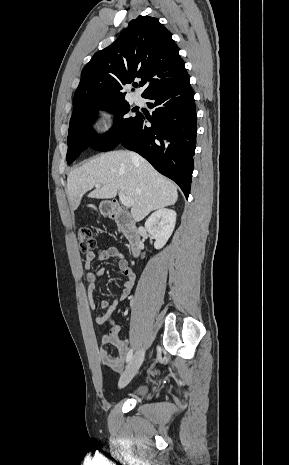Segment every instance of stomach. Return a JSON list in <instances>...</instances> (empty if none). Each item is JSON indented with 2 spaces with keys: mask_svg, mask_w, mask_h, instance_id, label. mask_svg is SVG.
<instances>
[{
  "mask_svg": "<svg viewBox=\"0 0 289 465\" xmlns=\"http://www.w3.org/2000/svg\"><path fill=\"white\" fill-rule=\"evenodd\" d=\"M106 205H107V202L104 201V202H101L99 206L100 211L104 214H106L109 211Z\"/></svg>",
  "mask_w": 289,
  "mask_h": 465,
  "instance_id": "0dacf381",
  "label": "stomach"
}]
</instances>
